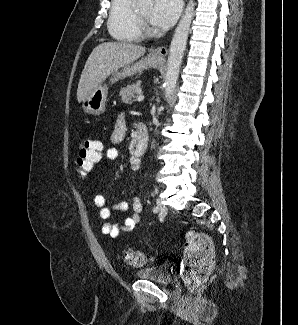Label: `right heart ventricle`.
Here are the masks:
<instances>
[{
    "label": "right heart ventricle",
    "mask_w": 298,
    "mask_h": 325,
    "mask_svg": "<svg viewBox=\"0 0 298 325\" xmlns=\"http://www.w3.org/2000/svg\"><path fill=\"white\" fill-rule=\"evenodd\" d=\"M132 2V0H116L110 7L107 29L110 37H115V41H140L131 27Z\"/></svg>",
    "instance_id": "1"
}]
</instances>
